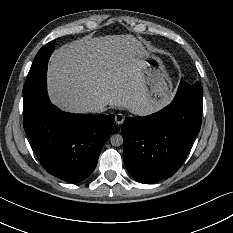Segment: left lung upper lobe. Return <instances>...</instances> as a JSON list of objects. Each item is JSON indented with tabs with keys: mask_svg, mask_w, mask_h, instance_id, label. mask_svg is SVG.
<instances>
[{
	"mask_svg": "<svg viewBox=\"0 0 233 233\" xmlns=\"http://www.w3.org/2000/svg\"><path fill=\"white\" fill-rule=\"evenodd\" d=\"M192 85H194V86H200L199 82H196V83H194Z\"/></svg>",
	"mask_w": 233,
	"mask_h": 233,
	"instance_id": "5c2ea615",
	"label": "left lung upper lobe"
}]
</instances>
